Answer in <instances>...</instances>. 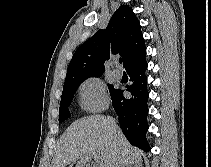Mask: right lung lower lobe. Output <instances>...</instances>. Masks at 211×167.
Returning a JSON list of instances; mask_svg holds the SVG:
<instances>
[{"mask_svg": "<svg viewBox=\"0 0 211 167\" xmlns=\"http://www.w3.org/2000/svg\"><path fill=\"white\" fill-rule=\"evenodd\" d=\"M147 66L144 56L126 69L132 82L127 86V91L132 95L130 98L123 95V90H116L111 96L113 107L119 116L120 128L125 137L132 145L146 152L150 150L146 138L149 127L147 123L149 92L145 74Z\"/></svg>", "mask_w": 211, "mask_h": 167, "instance_id": "98d812e1", "label": "right lung lower lobe"}]
</instances>
